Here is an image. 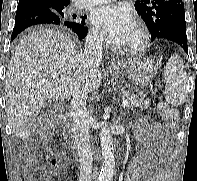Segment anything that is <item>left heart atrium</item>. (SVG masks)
Returning a JSON list of instances; mask_svg holds the SVG:
<instances>
[{
	"instance_id": "1",
	"label": "left heart atrium",
	"mask_w": 197,
	"mask_h": 181,
	"mask_svg": "<svg viewBox=\"0 0 197 181\" xmlns=\"http://www.w3.org/2000/svg\"><path fill=\"white\" fill-rule=\"evenodd\" d=\"M95 28L109 40L120 42L134 27V18L123 6L104 5L96 8L91 14Z\"/></svg>"
}]
</instances>
